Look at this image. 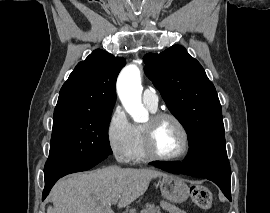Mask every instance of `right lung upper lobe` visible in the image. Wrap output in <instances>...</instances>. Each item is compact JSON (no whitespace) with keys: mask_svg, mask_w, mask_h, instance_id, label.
Segmentation results:
<instances>
[{"mask_svg":"<svg viewBox=\"0 0 270 213\" xmlns=\"http://www.w3.org/2000/svg\"><path fill=\"white\" fill-rule=\"evenodd\" d=\"M123 57L97 49L77 64L62 86L54 113L112 112L115 82L125 66Z\"/></svg>","mask_w":270,"mask_h":213,"instance_id":"1","label":"right lung upper lobe"}]
</instances>
